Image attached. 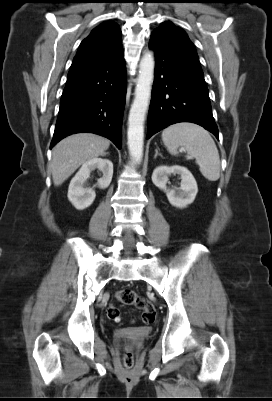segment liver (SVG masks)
<instances>
[{"mask_svg":"<svg viewBox=\"0 0 272 401\" xmlns=\"http://www.w3.org/2000/svg\"><path fill=\"white\" fill-rule=\"evenodd\" d=\"M109 145L108 139L92 133H77L61 140L52 151L54 185H61L82 164L105 155Z\"/></svg>","mask_w":272,"mask_h":401,"instance_id":"obj_1","label":"liver"}]
</instances>
